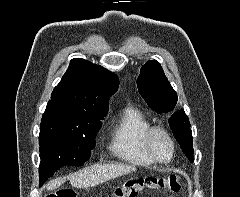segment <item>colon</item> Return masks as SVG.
<instances>
[{
	"label": "colon",
	"mask_w": 240,
	"mask_h": 197,
	"mask_svg": "<svg viewBox=\"0 0 240 197\" xmlns=\"http://www.w3.org/2000/svg\"><path fill=\"white\" fill-rule=\"evenodd\" d=\"M182 185L176 176H146L126 180L119 185L110 197H136L144 190H160L164 192H179ZM47 197H77L72 189H61Z\"/></svg>",
	"instance_id": "colon-1"
}]
</instances>
